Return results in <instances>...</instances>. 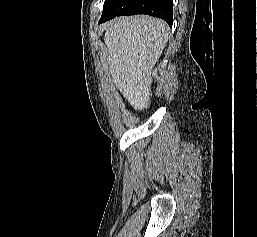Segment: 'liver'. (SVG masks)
Wrapping results in <instances>:
<instances>
[{
  "label": "liver",
  "mask_w": 257,
  "mask_h": 237,
  "mask_svg": "<svg viewBox=\"0 0 257 237\" xmlns=\"http://www.w3.org/2000/svg\"><path fill=\"white\" fill-rule=\"evenodd\" d=\"M104 29L113 82L132 107L147 109L152 96V69L168 40L167 25L142 15L115 18Z\"/></svg>",
  "instance_id": "liver-1"
}]
</instances>
